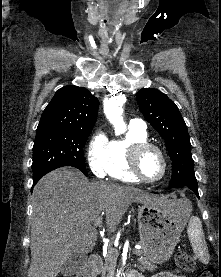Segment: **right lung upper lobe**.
<instances>
[{"label":"right lung upper lobe","instance_id":"obj_1","mask_svg":"<svg viewBox=\"0 0 221 277\" xmlns=\"http://www.w3.org/2000/svg\"><path fill=\"white\" fill-rule=\"evenodd\" d=\"M98 99L86 88L64 86L45 108L37 129H91L97 120Z\"/></svg>","mask_w":221,"mask_h":277}]
</instances>
